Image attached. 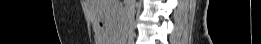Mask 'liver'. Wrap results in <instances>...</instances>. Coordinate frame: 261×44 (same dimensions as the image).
Masks as SVG:
<instances>
[{"label":"liver","mask_w":261,"mask_h":44,"mask_svg":"<svg viewBox=\"0 0 261 44\" xmlns=\"http://www.w3.org/2000/svg\"><path fill=\"white\" fill-rule=\"evenodd\" d=\"M87 5L94 24H132L128 14H116L126 11L119 0H87ZM94 29L98 30L96 44H118L125 34L124 25H95Z\"/></svg>","instance_id":"1"}]
</instances>
